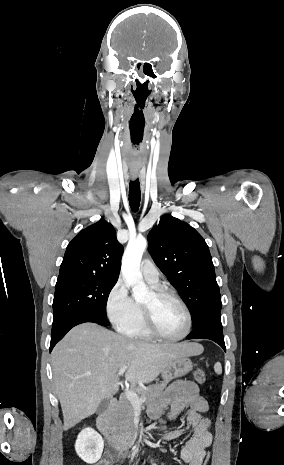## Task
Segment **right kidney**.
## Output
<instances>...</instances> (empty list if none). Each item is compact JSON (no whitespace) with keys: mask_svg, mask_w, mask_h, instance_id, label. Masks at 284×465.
<instances>
[{"mask_svg":"<svg viewBox=\"0 0 284 465\" xmlns=\"http://www.w3.org/2000/svg\"><path fill=\"white\" fill-rule=\"evenodd\" d=\"M104 449V441L94 429H83L79 433L75 445V451L85 463H97Z\"/></svg>","mask_w":284,"mask_h":465,"instance_id":"ca27d5eb","label":"right kidney"}]
</instances>
